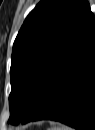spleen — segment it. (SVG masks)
<instances>
[{"mask_svg": "<svg viewBox=\"0 0 95 130\" xmlns=\"http://www.w3.org/2000/svg\"><path fill=\"white\" fill-rule=\"evenodd\" d=\"M50 130H71L68 126L61 125L50 128Z\"/></svg>", "mask_w": 95, "mask_h": 130, "instance_id": "obj_1", "label": "spleen"}]
</instances>
